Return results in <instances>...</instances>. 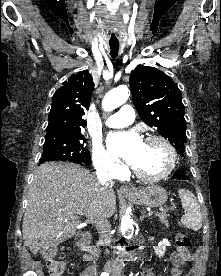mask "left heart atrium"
<instances>
[{"label":"left heart atrium","mask_w":221,"mask_h":276,"mask_svg":"<svg viewBox=\"0 0 221 276\" xmlns=\"http://www.w3.org/2000/svg\"><path fill=\"white\" fill-rule=\"evenodd\" d=\"M143 141L135 132L118 133L110 136L111 151L130 165H136L143 150Z\"/></svg>","instance_id":"obj_1"}]
</instances>
